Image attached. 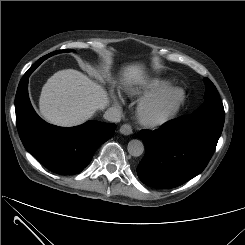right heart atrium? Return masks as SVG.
I'll return each mask as SVG.
<instances>
[{"mask_svg": "<svg viewBox=\"0 0 245 245\" xmlns=\"http://www.w3.org/2000/svg\"><path fill=\"white\" fill-rule=\"evenodd\" d=\"M111 98L114 102V105L119 107L120 106V96L118 93H116L115 91H111Z\"/></svg>", "mask_w": 245, "mask_h": 245, "instance_id": "obj_1", "label": "right heart atrium"}]
</instances>
